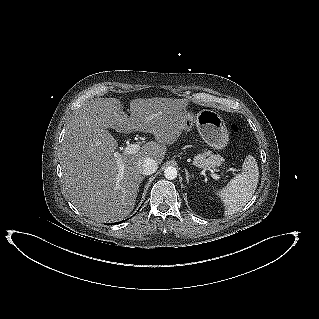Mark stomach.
Segmentation results:
<instances>
[{"label": "stomach", "instance_id": "0dacf381", "mask_svg": "<svg viewBox=\"0 0 319 319\" xmlns=\"http://www.w3.org/2000/svg\"><path fill=\"white\" fill-rule=\"evenodd\" d=\"M184 130L189 131L192 125L209 146L214 149H222L228 144L229 133L222 117L215 111L203 109L198 112L188 106L183 115Z\"/></svg>", "mask_w": 319, "mask_h": 319}]
</instances>
